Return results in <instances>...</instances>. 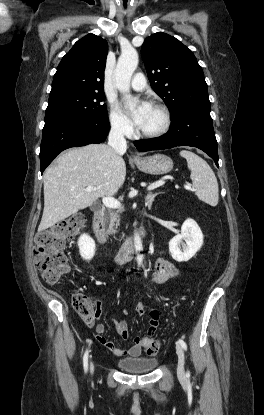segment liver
<instances>
[{"mask_svg": "<svg viewBox=\"0 0 264 415\" xmlns=\"http://www.w3.org/2000/svg\"><path fill=\"white\" fill-rule=\"evenodd\" d=\"M125 176V161L109 145L90 144L62 153L43 174L44 210L38 231L91 206L100 197L112 196ZM87 187L95 190L86 192Z\"/></svg>", "mask_w": 264, "mask_h": 415, "instance_id": "obj_1", "label": "liver"}]
</instances>
